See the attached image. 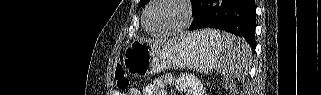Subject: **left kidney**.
<instances>
[{
	"label": "left kidney",
	"instance_id": "1",
	"mask_svg": "<svg viewBox=\"0 0 321 95\" xmlns=\"http://www.w3.org/2000/svg\"><path fill=\"white\" fill-rule=\"evenodd\" d=\"M227 90H229V92H230V93H234V92H235V91H234V89H233L232 87L227 88Z\"/></svg>",
	"mask_w": 321,
	"mask_h": 95
}]
</instances>
